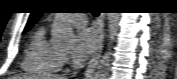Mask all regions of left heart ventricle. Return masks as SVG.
Here are the masks:
<instances>
[{"instance_id": "left-heart-ventricle-1", "label": "left heart ventricle", "mask_w": 177, "mask_h": 79, "mask_svg": "<svg viewBox=\"0 0 177 79\" xmlns=\"http://www.w3.org/2000/svg\"><path fill=\"white\" fill-rule=\"evenodd\" d=\"M78 27H79V26H77V25H76V26H73L74 29H76V28H78Z\"/></svg>"}]
</instances>
